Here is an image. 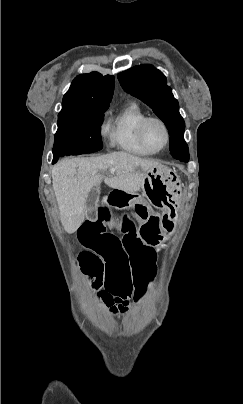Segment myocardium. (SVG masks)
<instances>
[{"mask_svg":"<svg viewBox=\"0 0 243 404\" xmlns=\"http://www.w3.org/2000/svg\"><path fill=\"white\" fill-rule=\"evenodd\" d=\"M152 121L158 122L163 127V129H164V131L166 133V143L164 144L163 147L158 148V149L153 148L148 143V141L146 140L145 135H144L145 127L147 126L148 123H150ZM137 134H138V138H139L140 142L146 148H148V149H150V150H152V151H154L156 153H159V152L165 150L169 146V144L171 142V131H170V128H169L168 124L161 117L155 116V115H147L139 122V124L137 126Z\"/></svg>","mask_w":243,"mask_h":404,"instance_id":"obj_1","label":"myocardium"}]
</instances>
